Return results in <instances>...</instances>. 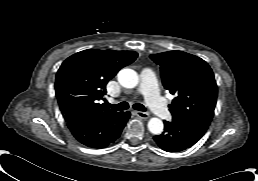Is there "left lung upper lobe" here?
Here are the masks:
<instances>
[{
	"label": "left lung upper lobe",
	"instance_id": "left-lung-upper-lobe-1",
	"mask_svg": "<svg viewBox=\"0 0 258 181\" xmlns=\"http://www.w3.org/2000/svg\"><path fill=\"white\" fill-rule=\"evenodd\" d=\"M150 57L161 66L165 89L175 95L169 105L173 119L208 128L217 100V85L210 66L201 58L182 51Z\"/></svg>",
	"mask_w": 258,
	"mask_h": 181
}]
</instances>
